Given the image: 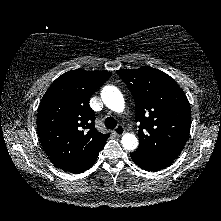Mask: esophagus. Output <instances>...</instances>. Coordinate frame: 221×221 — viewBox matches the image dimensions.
Returning <instances> with one entry per match:
<instances>
[{
    "label": "esophagus",
    "mask_w": 221,
    "mask_h": 221,
    "mask_svg": "<svg viewBox=\"0 0 221 221\" xmlns=\"http://www.w3.org/2000/svg\"><path fill=\"white\" fill-rule=\"evenodd\" d=\"M114 134L116 135H122L125 133V128L122 125H118L114 130H113Z\"/></svg>",
    "instance_id": "obj_1"
}]
</instances>
